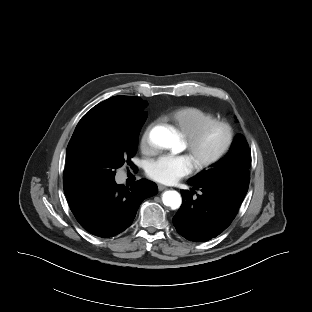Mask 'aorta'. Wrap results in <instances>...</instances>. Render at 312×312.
Listing matches in <instances>:
<instances>
[{
  "label": "aorta",
  "mask_w": 312,
  "mask_h": 312,
  "mask_svg": "<svg viewBox=\"0 0 312 312\" xmlns=\"http://www.w3.org/2000/svg\"><path fill=\"white\" fill-rule=\"evenodd\" d=\"M150 140L156 146L162 148H172L175 145V138L169 128L156 126L150 132ZM163 204L171 209H178L181 206L182 199L177 191H166L162 196Z\"/></svg>",
  "instance_id": "1"
}]
</instances>
